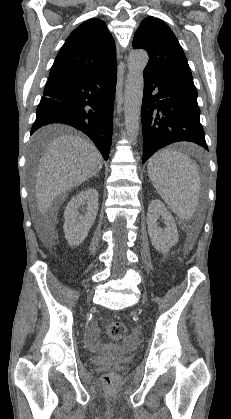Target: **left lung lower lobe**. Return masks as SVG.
Masks as SVG:
<instances>
[{
  "label": "left lung lower lobe",
  "instance_id": "obj_1",
  "mask_svg": "<svg viewBox=\"0 0 231 419\" xmlns=\"http://www.w3.org/2000/svg\"><path fill=\"white\" fill-rule=\"evenodd\" d=\"M192 83L144 73L143 163L158 149L192 141L208 150Z\"/></svg>",
  "mask_w": 231,
  "mask_h": 419
}]
</instances>
